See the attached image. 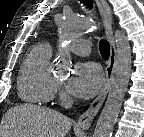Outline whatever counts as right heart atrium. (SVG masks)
Segmentation results:
<instances>
[{
	"label": "right heart atrium",
	"mask_w": 144,
	"mask_h": 137,
	"mask_svg": "<svg viewBox=\"0 0 144 137\" xmlns=\"http://www.w3.org/2000/svg\"><path fill=\"white\" fill-rule=\"evenodd\" d=\"M59 98L61 99V101L65 102L67 100V96L65 95L63 89L61 88V86H58L57 87V90H56Z\"/></svg>",
	"instance_id": "right-heart-atrium-1"
}]
</instances>
